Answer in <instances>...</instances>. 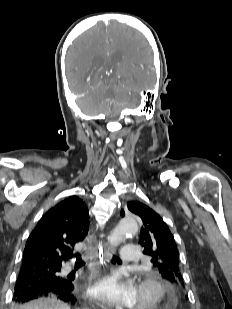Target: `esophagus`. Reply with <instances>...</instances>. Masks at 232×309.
<instances>
[{"mask_svg": "<svg viewBox=\"0 0 232 309\" xmlns=\"http://www.w3.org/2000/svg\"><path fill=\"white\" fill-rule=\"evenodd\" d=\"M89 251L92 259L93 270L97 273L100 266L105 264L111 255L109 245L105 241L103 243H97L95 241Z\"/></svg>", "mask_w": 232, "mask_h": 309, "instance_id": "obj_1", "label": "esophagus"}]
</instances>
